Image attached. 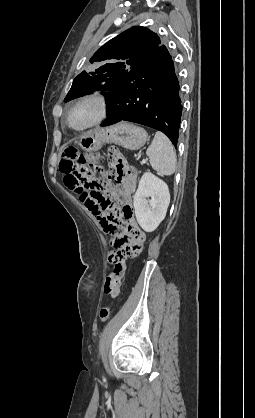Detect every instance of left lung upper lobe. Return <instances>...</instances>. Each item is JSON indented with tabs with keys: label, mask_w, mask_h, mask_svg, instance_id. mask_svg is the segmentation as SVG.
<instances>
[{
	"label": "left lung upper lobe",
	"mask_w": 255,
	"mask_h": 418,
	"mask_svg": "<svg viewBox=\"0 0 255 418\" xmlns=\"http://www.w3.org/2000/svg\"><path fill=\"white\" fill-rule=\"evenodd\" d=\"M161 46L157 34L145 27L135 26L122 32L97 50L90 59L97 68L80 73L64 101L94 91L106 96L130 70L151 57Z\"/></svg>",
	"instance_id": "obj_1"
}]
</instances>
